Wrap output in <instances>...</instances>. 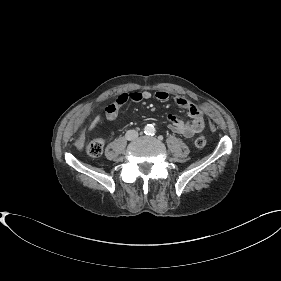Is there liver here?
<instances>
[{"label":"liver","instance_id":"liver-1","mask_svg":"<svg viewBox=\"0 0 281 281\" xmlns=\"http://www.w3.org/2000/svg\"><path fill=\"white\" fill-rule=\"evenodd\" d=\"M99 115L94 119V121L91 123L90 127H89V130H92L96 124L98 123V120H99Z\"/></svg>","mask_w":281,"mask_h":281}]
</instances>
